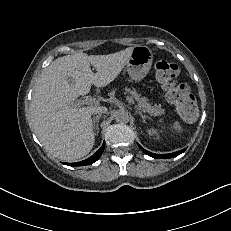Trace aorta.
Wrapping results in <instances>:
<instances>
[{
    "label": "aorta",
    "instance_id": "aorta-1",
    "mask_svg": "<svg viewBox=\"0 0 231 231\" xmlns=\"http://www.w3.org/2000/svg\"><path fill=\"white\" fill-rule=\"evenodd\" d=\"M130 120V115L127 111L120 110L115 115V121L117 123L126 124Z\"/></svg>",
    "mask_w": 231,
    "mask_h": 231
}]
</instances>
